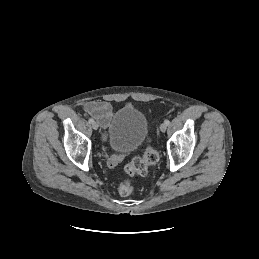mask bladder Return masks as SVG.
Masks as SVG:
<instances>
[{
	"instance_id": "obj_1",
	"label": "bladder",
	"mask_w": 259,
	"mask_h": 259,
	"mask_svg": "<svg viewBox=\"0 0 259 259\" xmlns=\"http://www.w3.org/2000/svg\"><path fill=\"white\" fill-rule=\"evenodd\" d=\"M148 122L145 115L125 106L116 112L108 130V145L119 152H133L146 140Z\"/></svg>"
}]
</instances>
